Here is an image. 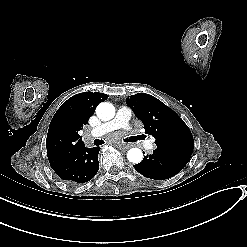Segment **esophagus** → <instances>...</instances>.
I'll use <instances>...</instances> for the list:
<instances>
[{
    "instance_id": "34e87169",
    "label": "esophagus",
    "mask_w": 247,
    "mask_h": 247,
    "mask_svg": "<svg viewBox=\"0 0 247 247\" xmlns=\"http://www.w3.org/2000/svg\"><path fill=\"white\" fill-rule=\"evenodd\" d=\"M130 147H131V145H129V144H119L118 145V148L122 151H125V150L129 149Z\"/></svg>"
}]
</instances>
